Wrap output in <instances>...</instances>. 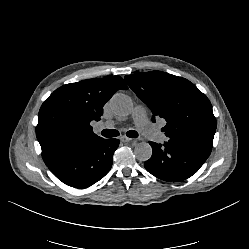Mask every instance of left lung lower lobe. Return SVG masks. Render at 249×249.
I'll list each match as a JSON object with an SVG mask.
<instances>
[{"label": "left lung lower lobe", "instance_id": "0a47b994", "mask_svg": "<svg viewBox=\"0 0 249 249\" xmlns=\"http://www.w3.org/2000/svg\"><path fill=\"white\" fill-rule=\"evenodd\" d=\"M153 153L144 163L146 170L168 182L183 181L203 165L210 152L195 147L165 142L163 145L149 142Z\"/></svg>", "mask_w": 249, "mask_h": 249}]
</instances>
